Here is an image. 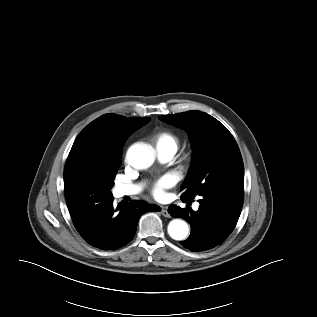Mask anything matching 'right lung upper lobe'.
<instances>
[{"instance_id": "cb5924a9", "label": "right lung upper lobe", "mask_w": 317, "mask_h": 317, "mask_svg": "<svg viewBox=\"0 0 317 317\" xmlns=\"http://www.w3.org/2000/svg\"><path fill=\"white\" fill-rule=\"evenodd\" d=\"M144 118L105 114L87 125L75 139L69 156L83 149L106 151L122 156V147L131 133L139 129ZM68 156V157H69Z\"/></svg>"}]
</instances>
